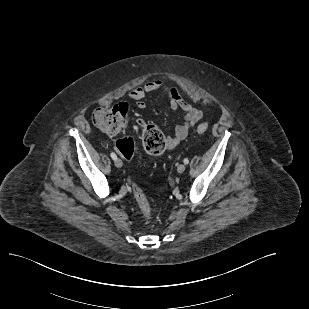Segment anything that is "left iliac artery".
I'll return each instance as SVG.
<instances>
[{"label":"left iliac artery","mask_w":309,"mask_h":309,"mask_svg":"<svg viewBox=\"0 0 309 309\" xmlns=\"http://www.w3.org/2000/svg\"><path fill=\"white\" fill-rule=\"evenodd\" d=\"M183 162H184V164H188V163H189V160H188L187 158H185V159L183 160Z\"/></svg>","instance_id":"obj_1"}]
</instances>
